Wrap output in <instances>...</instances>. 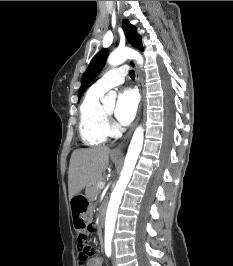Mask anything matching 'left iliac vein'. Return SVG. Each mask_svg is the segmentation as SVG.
Segmentation results:
<instances>
[{"label": "left iliac vein", "mask_w": 233, "mask_h": 266, "mask_svg": "<svg viewBox=\"0 0 233 266\" xmlns=\"http://www.w3.org/2000/svg\"><path fill=\"white\" fill-rule=\"evenodd\" d=\"M112 252H113V256H114V252H115L114 246L112 247ZM113 266H117L115 258H113Z\"/></svg>", "instance_id": "left-iliac-vein-1"}]
</instances>
